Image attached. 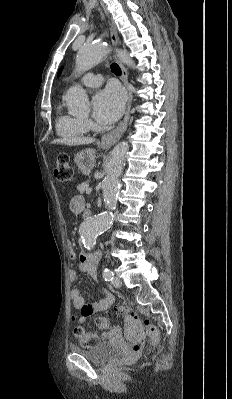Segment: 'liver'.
I'll return each mask as SVG.
<instances>
[{"instance_id": "liver-1", "label": "liver", "mask_w": 232, "mask_h": 399, "mask_svg": "<svg viewBox=\"0 0 232 399\" xmlns=\"http://www.w3.org/2000/svg\"><path fill=\"white\" fill-rule=\"evenodd\" d=\"M95 142L94 138H60V140H53L51 144H65V146H81V144H92Z\"/></svg>"}]
</instances>
